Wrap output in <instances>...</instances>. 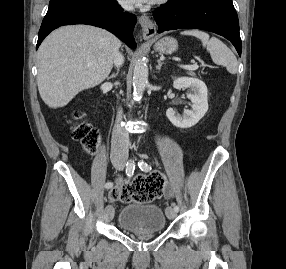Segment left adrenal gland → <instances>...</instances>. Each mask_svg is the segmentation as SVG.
<instances>
[{"mask_svg": "<svg viewBox=\"0 0 286 269\" xmlns=\"http://www.w3.org/2000/svg\"><path fill=\"white\" fill-rule=\"evenodd\" d=\"M157 62H158V65L156 66V69L160 70L161 67H162L163 62L161 60H158Z\"/></svg>", "mask_w": 286, "mask_h": 269, "instance_id": "a2214340", "label": "left adrenal gland"}]
</instances>
